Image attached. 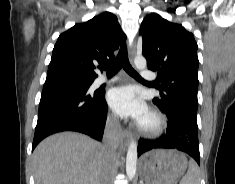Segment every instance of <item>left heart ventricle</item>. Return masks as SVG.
I'll use <instances>...</instances> for the list:
<instances>
[{"label": "left heart ventricle", "mask_w": 235, "mask_h": 184, "mask_svg": "<svg viewBox=\"0 0 235 184\" xmlns=\"http://www.w3.org/2000/svg\"><path fill=\"white\" fill-rule=\"evenodd\" d=\"M152 123H153V118H152V116L148 113V114L144 117V119L142 120L141 125H142V126H145V127H149V126L152 125Z\"/></svg>", "instance_id": "left-heart-ventricle-1"}]
</instances>
